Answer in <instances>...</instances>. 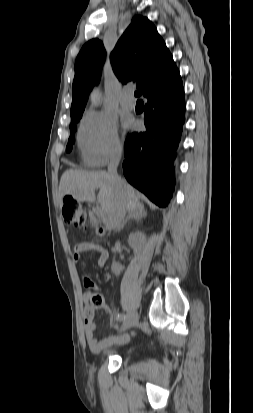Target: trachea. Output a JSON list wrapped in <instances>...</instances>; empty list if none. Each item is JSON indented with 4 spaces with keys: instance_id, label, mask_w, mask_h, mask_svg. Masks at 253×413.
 <instances>
[{
    "instance_id": "trachea-1",
    "label": "trachea",
    "mask_w": 253,
    "mask_h": 413,
    "mask_svg": "<svg viewBox=\"0 0 253 413\" xmlns=\"http://www.w3.org/2000/svg\"><path fill=\"white\" fill-rule=\"evenodd\" d=\"M135 96H136V97H140V96H141V90L136 91V92H135Z\"/></svg>"
}]
</instances>
